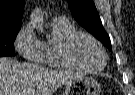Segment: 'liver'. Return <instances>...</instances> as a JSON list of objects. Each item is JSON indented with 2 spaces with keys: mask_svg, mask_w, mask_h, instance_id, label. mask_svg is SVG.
I'll return each mask as SVG.
<instances>
[{
  "mask_svg": "<svg viewBox=\"0 0 135 95\" xmlns=\"http://www.w3.org/2000/svg\"><path fill=\"white\" fill-rule=\"evenodd\" d=\"M82 74L0 58V95H52ZM28 91L31 94H28Z\"/></svg>",
  "mask_w": 135,
  "mask_h": 95,
  "instance_id": "1",
  "label": "liver"
}]
</instances>
